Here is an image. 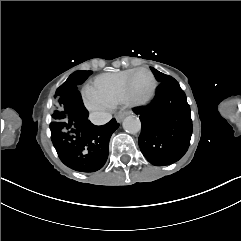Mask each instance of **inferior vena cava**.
Masks as SVG:
<instances>
[{
  "instance_id": "obj_1",
  "label": "inferior vena cava",
  "mask_w": 241,
  "mask_h": 241,
  "mask_svg": "<svg viewBox=\"0 0 241 241\" xmlns=\"http://www.w3.org/2000/svg\"><path fill=\"white\" fill-rule=\"evenodd\" d=\"M112 119L111 114L109 113H102V112H95L89 115V120L92 124L100 126L108 123Z\"/></svg>"
}]
</instances>
